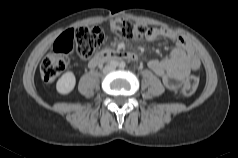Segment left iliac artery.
<instances>
[{
	"mask_svg": "<svg viewBox=\"0 0 238 158\" xmlns=\"http://www.w3.org/2000/svg\"><path fill=\"white\" fill-rule=\"evenodd\" d=\"M119 67H120V68H124V67H125V63H124V62H121V63L119 64Z\"/></svg>",
	"mask_w": 238,
	"mask_h": 158,
	"instance_id": "left-iliac-artery-1",
	"label": "left iliac artery"
}]
</instances>
